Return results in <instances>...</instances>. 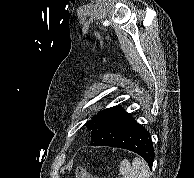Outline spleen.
I'll return each mask as SVG.
<instances>
[{
  "label": "spleen",
  "mask_w": 194,
  "mask_h": 178,
  "mask_svg": "<svg viewBox=\"0 0 194 178\" xmlns=\"http://www.w3.org/2000/svg\"><path fill=\"white\" fill-rule=\"evenodd\" d=\"M119 172L122 178H149V167L147 163L139 158L135 157L131 163L124 159L119 165Z\"/></svg>",
  "instance_id": "1"
}]
</instances>
